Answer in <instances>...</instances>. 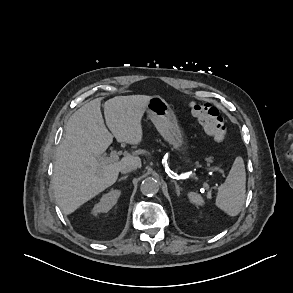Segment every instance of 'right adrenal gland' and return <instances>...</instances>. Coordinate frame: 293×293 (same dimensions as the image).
Masks as SVG:
<instances>
[{"instance_id":"right-adrenal-gland-1","label":"right adrenal gland","mask_w":293,"mask_h":293,"mask_svg":"<svg viewBox=\"0 0 293 293\" xmlns=\"http://www.w3.org/2000/svg\"><path fill=\"white\" fill-rule=\"evenodd\" d=\"M128 177V175L124 176V177H121L118 179V182L122 181V180H125L126 178Z\"/></svg>"}]
</instances>
